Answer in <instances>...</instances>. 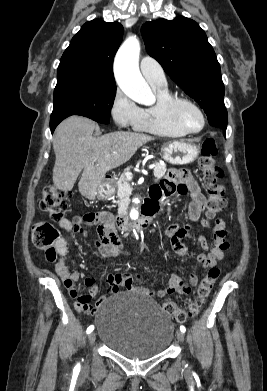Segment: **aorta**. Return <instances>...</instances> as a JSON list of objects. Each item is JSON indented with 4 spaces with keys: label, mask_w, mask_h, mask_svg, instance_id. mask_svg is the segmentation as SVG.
<instances>
[{
    "label": "aorta",
    "mask_w": 267,
    "mask_h": 391,
    "mask_svg": "<svg viewBox=\"0 0 267 391\" xmlns=\"http://www.w3.org/2000/svg\"><path fill=\"white\" fill-rule=\"evenodd\" d=\"M140 43L135 36L128 37L119 48L114 62L115 77L118 86L130 99L140 104L148 103L152 97V91L142 77L139 70ZM136 204L139 203L135 199ZM137 208H133L130 217L138 218Z\"/></svg>",
    "instance_id": "aorta-1"
}]
</instances>
